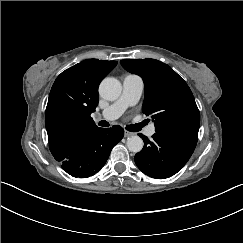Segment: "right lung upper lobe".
Wrapping results in <instances>:
<instances>
[{
  "instance_id": "1",
  "label": "right lung upper lobe",
  "mask_w": 243,
  "mask_h": 243,
  "mask_svg": "<svg viewBox=\"0 0 243 243\" xmlns=\"http://www.w3.org/2000/svg\"><path fill=\"white\" fill-rule=\"evenodd\" d=\"M116 61L84 60L63 71L55 80L46 107L49 149L56 160L76 140L97 128L91 113L98 105L101 80Z\"/></svg>"
}]
</instances>
